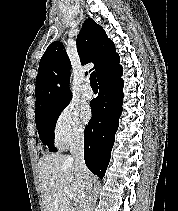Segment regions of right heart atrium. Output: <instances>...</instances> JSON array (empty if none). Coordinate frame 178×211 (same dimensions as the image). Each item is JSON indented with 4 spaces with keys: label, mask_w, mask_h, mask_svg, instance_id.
Segmentation results:
<instances>
[{
    "label": "right heart atrium",
    "mask_w": 178,
    "mask_h": 211,
    "mask_svg": "<svg viewBox=\"0 0 178 211\" xmlns=\"http://www.w3.org/2000/svg\"><path fill=\"white\" fill-rule=\"evenodd\" d=\"M85 124L80 118L78 108L67 103L56 115L53 123V134L57 144L68 147L84 137Z\"/></svg>",
    "instance_id": "obj_1"
}]
</instances>
